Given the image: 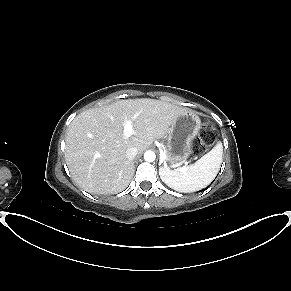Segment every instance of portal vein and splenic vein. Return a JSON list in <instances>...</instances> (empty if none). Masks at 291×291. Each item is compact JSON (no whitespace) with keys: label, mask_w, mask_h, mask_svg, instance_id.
Returning <instances> with one entry per match:
<instances>
[{"label":"portal vein and splenic vein","mask_w":291,"mask_h":291,"mask_svg":"<svg viewBox=\"0 0 291 291\" xmlns=\"http://www.w3.org/2000/svg\"><path fill=\"white\" fill-rule=\"evenodd\" d=\"M124 129H123V136L125 138L130 137L131 135L134 134L133 131V126H132V122L131 120H125L123 123ZM160 156L163 158L164 157V153L163 151H160Z\"/></svg>","instance_id":"1"}]
</instances>
